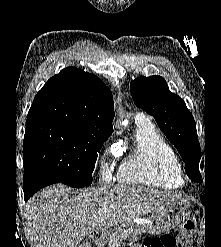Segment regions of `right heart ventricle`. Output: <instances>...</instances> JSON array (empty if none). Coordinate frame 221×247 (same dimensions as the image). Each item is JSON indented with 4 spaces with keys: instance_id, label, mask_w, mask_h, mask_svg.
<instances>
[{
    "instance_id": "e07e8e85",
    "label": "right heart ventricle",
    "mask_w": 221,
    "mask_h": 247,
    "mask_svg": "<svg viewBox=\"0 0 221 247\" xmlns=\"http://www.w3.org/2000/svg\"><path fill=\"white\" fill-rule=\"evenodd\" d=\"M132 151L122 160L117 178L125 184L177 189L184 184L179 158L146 118L136 121Z\"/></svg>"
}]
</instances>
